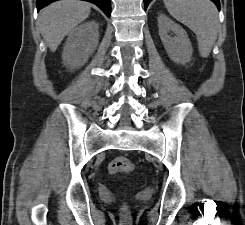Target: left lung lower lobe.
I'll use <instances>...</instances> for the list:
<instances>
[{
	"mask_svg": "<svg viewBox=\"0 0 245 225\" xmlns=\"http://www.w3.org/2000/svg\"><path fill=\"white\" fill-rule=\"evenodd\" d=\"M152 0H144V6H145V10L147 9V6L149 5V3ZM215 3V5L217 6L218 9H220V1L219 0H211Z\"/></svg>",
	"mask_w": 245,
	"mask_h": 225,
	"instance_id": "obj_1",
	"label": "left lung lower lobe"
}]
</instances>
